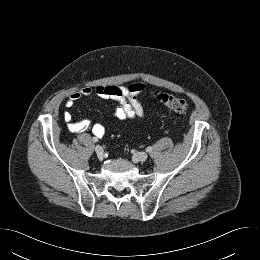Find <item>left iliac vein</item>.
Segmentation results:
<instances>
[{
  "instance_id": "obj_1",
  "label": "left iliac vein",
  "mask_w": 260,
  "mask_h": 260,
  "mask_svg": "<svg viewBox=\"0 0 260 260\" xmlns=\"http://www.w3.org/2000/svg\"><path fill=\"white\" fill-rule=\"evenodd\" d=\"M147 158H148V155L145 152H140L133 156V160L135 162H144L147 160Z\"/></svg>"
}]
</instances>
